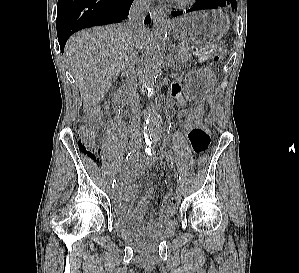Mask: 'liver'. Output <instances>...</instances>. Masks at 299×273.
Listing matches in <instances>:
<instances>
[{
  "mask_svg": "<svg viewBox=\"0 0 299 273\" xmlns=\"http://www.w3.org/2000/svg\"><path fill=\"white\" fill-rule=\"evenodd\" d=\"M147 31L131 35L127 24L80 31L65 46V57L83 99L84 110L92 109L129 63L131 44L141 49Z\"/></svg>",
  "mask_w": 299,
  "mask_h": 273,
  "instance_id": "obj_1",
  "label": "liver"
}]
</instances>
